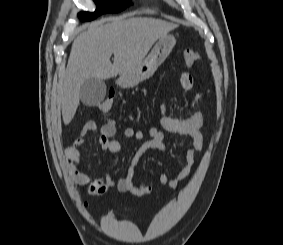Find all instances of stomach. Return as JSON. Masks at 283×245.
Instances as JSON below:
<instances>
[{"mask_svg": "<svg viewBox=\"0 0 283 245\" xmlns=\"http://www.w3.org/2000/svg\"><path fill=\"white\" fill-rule=\"evenodd\" d=\"M175 44L176 40L171 35L160 38L148 56L139 65L120 76L118 84L122 87L130 88L150 78L168 57Z\"/></svg>", "mask_w": 283, "mask_h": 245, "instance_id": "stomach-1", "label": "stomach"}]
</instances>
